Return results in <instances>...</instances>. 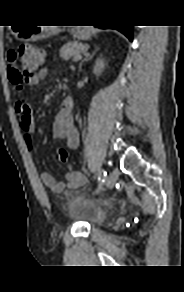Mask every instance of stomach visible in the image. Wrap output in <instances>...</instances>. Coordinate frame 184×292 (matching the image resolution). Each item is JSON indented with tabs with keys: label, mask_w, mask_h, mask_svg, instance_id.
<instances>
[{
	"label": "stomach",
	"mask_w": 184,
	"mask_h": 292,
	"mask_svg": "<svg viewBox=\"0 0 184 292\" xmlns=\"http://www.w3.org/2000/svg\"><path fill=\"white\" fill-rule=\"evenodd\" d=\"M48 29L40 26H31L24 30L17 31V35L23 40H37L46 37ZM74 37L80 40H87L90 38L91 33L87 28H76L73 32Z\"/></svg>",
	"instance_id": "stomach-1"
}]
</instances>
